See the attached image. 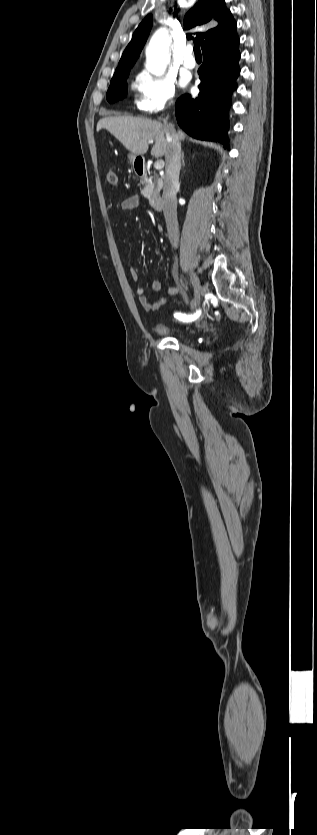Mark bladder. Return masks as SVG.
I'll use <instances>...</instances> for the list:
<instances>
[{
	"instance_id": "1",
	"label": "bladder",
	"mask_w": 317,
	"mask_h": 835,
	"mask_svg": "<svg viewBox=\"0 0 317 835\" xmlns=\"http://www.w3.org/2000/svg\"><path fill=\"white\" fill-rule=\"evenodd\" d=\"M155 331L160 335L170 336L176 339H183L186 336V331L184 329L166 323L156 325Z\"/></svg>"
}]
</instances>
